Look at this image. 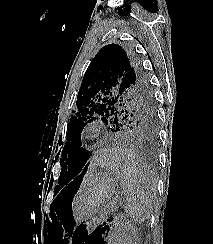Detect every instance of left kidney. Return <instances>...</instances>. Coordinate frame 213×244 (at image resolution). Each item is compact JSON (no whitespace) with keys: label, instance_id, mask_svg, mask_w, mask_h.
I'll list each match as a JSON object with an SVG mask.
<instances>
[{"label":"left kidney","instance_id":"obj_1","mask_svg":"<svg viewBox=\"0 0 213 244\" xmlns=\"http://www.w3.org/2000/svg\"><path fill=\"white\" fill-rule=\"evenodd\" d=\"M109 244H137V231L130 224L119 223L113 229Z\"/></svg>","mask_w":213,"mask_h":244}]
</instances>
